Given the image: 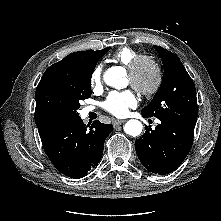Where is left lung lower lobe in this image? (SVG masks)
I'll use <instances>...</instances> for the list:
<instances>
[{"instance_id": "obj_1", "label": "left lung lower lobe", "mask_w": 221, "mask_h": 221, "mask_svg": "<svg viewBox=\"0 0 221 221\" xmlns=\"http://www.w3.org/2000/svg\"><path fill=\"white\" fill-rule=\"evenodd\" d=\"M142 116L145 117L143 114ZM193 136L194 127L161 121L155 130L146 127L143 136L136 140L135 149L147 170L165 175L183 162L192 147Z\"/></svg>"}]
</instances>
